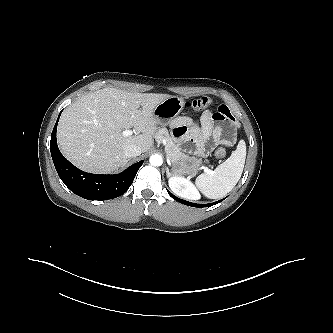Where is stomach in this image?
Masks as SVG:
<instances>
[{"mask_svg": "<svg viewBox=\"0 0 333 333\" xmlns=\"http://www.w3.org/2000/svg\"><path fill=\"white\" fill-rule=\"evenodd\" d=\"M184 105L185 102L182 97L170 96L154 108L153 116L158 124H169L181 112ZM200 164V159L194 156L185 155L180 160L173 162V173L178 175L192 174L198 170Z\"/></svg>", "mask_w": 333, "mask_h": 333, "instance_id": "0dacf381", "label": "stomach"}]
</instances>
